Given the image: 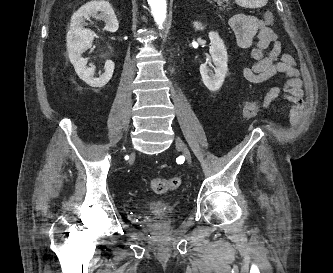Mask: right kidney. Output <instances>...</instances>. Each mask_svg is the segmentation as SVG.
I'll return each instance as SVG.
<instances>
[{
    "label": "right kidney",
    "instance_id": "right-kidney-1",
    "mask_svg": "<svg viewBox=\"0 0 333 273\" xmlns=\"http://www.w3.org/2000/svg\"><path fill=\"white\" fill-rule=\"evenodd\" d=\"M89 17L105 21L104 29L109 32H116L119 27L118 20L111 4L104 0H94L80 7L71 18L70 30L67 34V49L69 58L77 75L91 87H104L112 78L115 64L107 60L104 66V73L100 77L95 76V67H87V58L82 54L92 46L94 33L85 28L86 19Z\"/></svg>",
    "mask_w": 333,
    "mask_h": 273
}]
</instances>
